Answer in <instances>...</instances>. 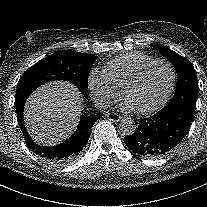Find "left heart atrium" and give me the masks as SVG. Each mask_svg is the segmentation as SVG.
Segmentation results:
<instances>
[{
    "label": "left heart atrium",
    "instance_id": "39dd6f15",
    "mask_svg": "<svg viewBox=\"0 0 207 207\" xmlns=\"http://www.w3.org/2000/svg\"><path fill=\"white\" fill-rule=\"evenodd\" d=\"M124 109L133 110L132 107L127 102L124 104Z\"/></svg>",
    "mask_w": 207,
    "mask_h": 207
}]
</instances>
